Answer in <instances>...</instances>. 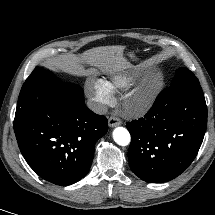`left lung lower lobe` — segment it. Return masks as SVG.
<instances>
[{
	"label": "left lung lower lobe",
	"instance_id": "left-lung-lower-lobe-1",
	"mask_svg": "<svg viewBox=\"0 0 215 215\" xmlns=\"http://www.w3.org/2000/svg\"><path fill=\"white\" fill-rule=\"evenodd\" d=\"M206 127L203 92L164 89L144 117L127 123L131 170L150 183L176 178L196 157Z\"/></svg>",
	"mask_w": 215,
	"mask_h": 215
}]
</instances>
